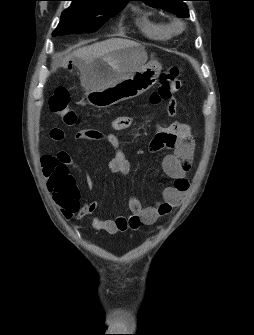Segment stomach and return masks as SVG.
Wrapping results in <instances>:
<instances>
[{"label": "stomach", "instance_id": "obj_1", "mask_svg": "<svg viewBox=\"0 0 254 335\" xmlns=\"http://www.w3.org/2000/svg\"><path fill=\"white\" fill-rule=\"evenodd\" d=\"M161 69L156 61L146 62L145 49L140 45L117 50L96 59L85 73L86 99L97 108L132 99L157 82ZM120 75L124 78L116 80Z\"/></svg>", "mask_w": 254, "mask_h": 335}]
</instances>
